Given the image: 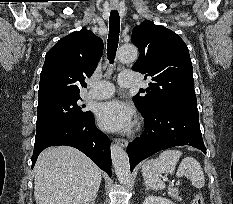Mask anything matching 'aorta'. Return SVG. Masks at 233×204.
I'll return each instance as SVG.
<instances>
[{"mask_svg":"<svg viewBox=\"0 0 233 204\" xmlns=\"http://www.w3.org/2000/svg\"><path fill=\"white\" fill-rule=\"evenodd\" d=\"M118 60L122 63H132L138 58V50L134 45H123L117 53ZM112 164L120 183L127 184L130 177V164L127 153L116 144L111 145Z\"/></svg>","mask_w":233,"mask_h":204,"instance_id":"aorta-1","label":"aorta"}]
</instances>
